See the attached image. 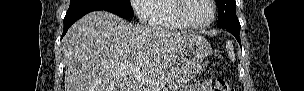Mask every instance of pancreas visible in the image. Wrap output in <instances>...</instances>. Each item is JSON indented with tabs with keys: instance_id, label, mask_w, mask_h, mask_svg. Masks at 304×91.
Wrapping results in <instances>:
<instances>
[{
	"instance_id": "pancreas-1",
	"label": "pancreas",
	"mask_w": 304,
	"mask_h": 91,
	"mask_svg": "<svg viewBox=\"0 0 304 91\" xmlns=\"http://www.w3.org/2000/svg\"><path fill=\"white\" fill-rule=\"evenodd\" d=\"M199 67H175L171 68L169 71L165 72L159 80L171 84L172 87L176 88V91L179 88H182L187 84L191 79L194 78L195 73H201ZM146 91H155L152 88H147Z\"/></svg>"
}]
</instances>
